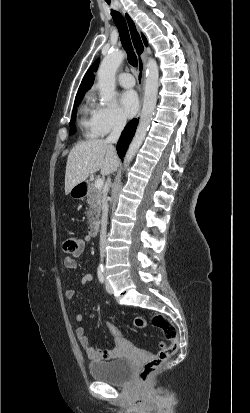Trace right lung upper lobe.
<instances>
[{
    "label": "right lung upper lobe",
    "mask_w": 250,
    "mask_h": 413,
    "mask_svg": "<svg viewBox=\"0 0 250 413\" xmlns=\"http://www.w3.org/2000/svg\"><path fill=\"white\" fill-rule=\"evenodd\" d=\"M142 38H143L144 44L147 46V40H146V38L144 37L143 34H142ZM98 65H99V59H97L92 64V66L88 69V71L86 72V74H85V76H84V78L81 82V85L79 87V90H78V93H77L76 97L83 96L84 93L88 89H90V87L92 86V84L94 82V78H95L94 72L97 71Z\"/></svg>",
    "instance_id": "1"
}]
</instances>
